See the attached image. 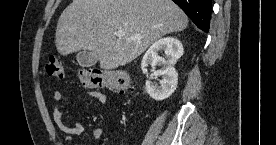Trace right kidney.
Segmentation results:
<instances>
[{
  "label": "right kidney",
  "instance_id": "1",
  "mask_svg": "<svg viewBox=\"0 0 276 145\" xmlns=\"http://www.w3.org/2000/svg\"><path fill=\"white\" fill-rule=\"evenodd\" d=\"M159 51H164L166 57H160L158 55ZM183 53L182 43L174 37H166L156 41L145 53L141 63L143 73H147L148 65L161 66L153 76H162V84L160 86L154 85L151 82L153 76L146 81V91L154 100L162 101L176 90L178 74L174 65Z\"/></svg>",
  "mask_w": 276,
  "mask_h": 145
}]
</instances>
